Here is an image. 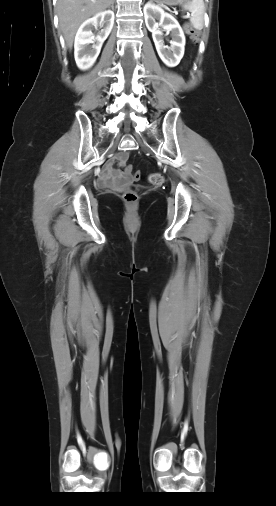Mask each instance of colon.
Instances as JSON below:
<instances>
[{"instance_id": "obj_1", "label": "colon", "mask_w": 276, "mask_h": 506, "mask_svg": "<svg viewBox=\"0 0 276 506\" xmlns=\"http://www.w3.org/2000/svg\"><path fill=\"white\" fill-rule=\"evenodd\" d=\"M185 32L193 41H197L199 39L198 31L193 29L191 26L186 25ZM126 171L129 173H132V180L133 181L139 180V178H140V171L139 170H133L132 167L127 166ZM148 181L153 185L159 186V185L163 184L164 178H163L162 174H160V173H151L148 176ZM122 197H123V200L130 205L135 204L138 200V195L133 188L124 192Z\"/></svg>"}]
</instances>
